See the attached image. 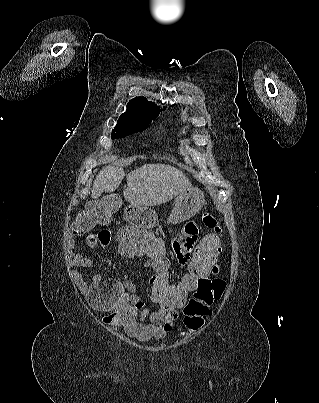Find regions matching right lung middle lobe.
Instances as JSON below:
<instances>
[{
  "label": "right lung middle lobe",
  "instance_id": "1",
  "mask_svg": "<svg viewBox=\"0 0 319 403\" xmlns=\"http://www.w3.org/2000/svg\"><path fill=\"white\" fill-rule=\"evenodd\" d=\"M156 117L157 116L144 120V121H134V120L120 117L114 130H112L113 133H112L111 137L118 139V138H122V137H126L128 135H131L133 133L142 131Z\"/></svg>",
  "mask_w": 319,
  "mask_h": 403
}]
</instances>
